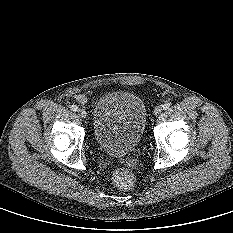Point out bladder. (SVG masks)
I'll return each instance as SVG.
<instances>
[{"label":"bladder","mask_w":233,"mask_h":233,"mask_svg":"<svg viewBox=\"0 0 233 233\" xmlns=\"http://www.w3.org/2000/svg\"><path fill=\"white\" fill-rule=\"evenodd\" d=\"M146 120V108L138 96L123 91L106 93L93 110L95 139L106 154L123 157L140 142Z\"/></svg>","instance_id":"bladder-1"}]
</instances>
